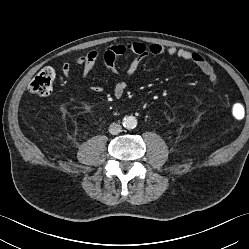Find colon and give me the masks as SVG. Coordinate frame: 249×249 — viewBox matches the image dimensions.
Listing matches in <instances>:
<instances>
[{
	"label": "colon",
	"instance_id": "obj_1",
	"mask_svg": "<svg viewBox=\"0 0 249 249\" xmlns=\"http://www.w3.org/2000/svg\"><path fill=\"white\" fill-rule=\"evenodd\" d=\"M55 80V71L50 67L43 68L31 81L29 91L38 96H47L51 93ZM244 112L240 103L232 106V114L238 119Z\"/></svg>",
	"mask_w": 249,
	"mask_h": 249
}]
</instances>
